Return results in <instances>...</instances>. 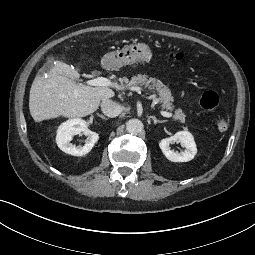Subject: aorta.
Here are the masks:
<instances>
[{
	"label": "aorta",
	"mask_w": 255,
	"mask_h": 255,
	"mask_svg": "<svg viewBox=\"0 0 255 255\" xmlns=\"http://www.w3.org/2000/svg\"><path fill=\"white\" fill-rule=\"evenodd\" d=\"M144 128V125L141 120L139 119H130L126 123V129L130 134H138L140 133Z\"/></svg>",
	"instance_id": "aorta-1"
}]
</instances>
